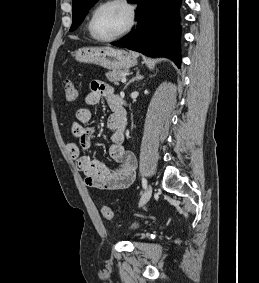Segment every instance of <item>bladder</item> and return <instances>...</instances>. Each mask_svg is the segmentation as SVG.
<instances>
[{"label": "bladder", "mask_w": 259, "mask_h": 283, "mask_svg": "<svg viewBox=\"0 0 259 283\" xmlns=\"http://www.w3.org/2000/svg\"><path fill=\"white\" fill-rule=\"evenodd\" d=\"M138 226H139V224H138V223H135V224H133V225L130 227V229H131V230H134V229H136Z\"/></svg>", "instance_id": "1"}]
</instances>
